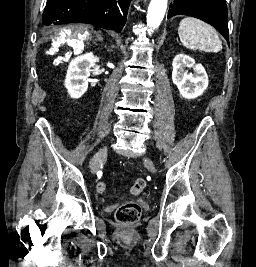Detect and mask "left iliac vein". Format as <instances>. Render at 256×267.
Masks as SVG:
<instances>
[{
	"mask_svg": "<svg viewBox=\"0 0 256 267\" xmlns=\"http://www.w3.org/2000/svg\"><path fill=\"white\" fill-rule=\"evenodd\" d=\"M143 163H144L145 165L148 166L149 170H150L152 173H155V172H156V168H155V166H154V164H153V161H152L151 159H149V158H147V157H144V158H143Z\"/></svg>",
	"mask_w": 256,
	"mask_h": 267,
	"instance_id": "left-iliac-vein-1",
	"label": "left iliac vein"
}]
</instances>
